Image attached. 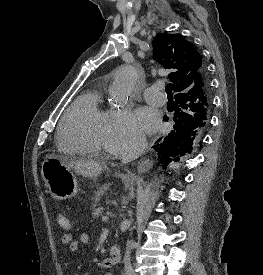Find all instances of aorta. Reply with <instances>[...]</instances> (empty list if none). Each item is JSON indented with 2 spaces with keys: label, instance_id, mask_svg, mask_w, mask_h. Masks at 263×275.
Segmentation results:
<instances>
[{
  "label": "aorta",
  "instance_id": "762f6f07",
  "mask_svg": "<svg viewBox=\"0 0 263 275\" xmlns=\"http://www.w3.org/2000/svg\"><path fill=\"white\" fill-rule=\"evenodd\" d=\"M139 73L135 67L124 65L117 69L112 85L110 86V98L115 103L126 101L138 81Z\"/></svg>",
  "mask_w": 263,
  "mask_h": 275
}]
</instances>
